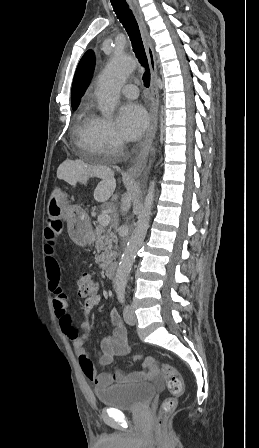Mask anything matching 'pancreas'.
Here are the masks:
<instances>
[{
    "label": "pancreas",
    "instance_id": "obj_1",
    "mask_svg": "<svg viewBox=\"0 0 259 448\" xmlns=\"http://www.w3.org/2000/svg\"><path fill=\"white\" fill-rule=\"evenodd\" d=\"M95 240L97 254H100L95 258L96 264H99L101 270H106L117 256V252H114L117 250V246H112L113 242L114 244L117 242L116 234L111 230H105L103 226H96Z\"/></svg>",
    "mask_w": 259,
    "mask_h": 448
}]
</instances>
